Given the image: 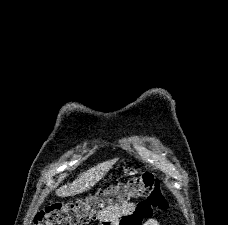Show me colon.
Wrapping results in <instances>:
<instances>
[{"label":"colon","instance_id":"obj_1","mask_svg":"<svg viewBox=\"0 0 228 225\" xmlns=\"http://www.w3.org/2000/svg\"><path fill=\"white\" fill-rule=\"evenodd\" d=\"M134 199L146 200L157 208L168 206L159 180L151 173H144L105 186L85 200L53 202L39 211L35 225H88L104 216V211L114 212Z\"/></svg>","mask_w":228,"mask_h":225}]
</instances>
